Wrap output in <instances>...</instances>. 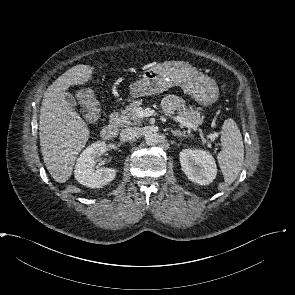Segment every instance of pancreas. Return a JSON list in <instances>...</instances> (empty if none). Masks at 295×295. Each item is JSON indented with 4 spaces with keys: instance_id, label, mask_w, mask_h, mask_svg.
Listing matches in <instances>:
<instances>
[{
    "instance_id": "obj_1",
    "label": "pancreas",
    "mask_w": 295,
    "mask_h": 295,
    "mask_svg": "<svg viewBox=\"0 0 295 295\" xmlns=\"http://www.w3.org/2000/svg\"><path fill=\"white\" fill-rule=\"evenodd\" d=\"M142 105V100L132 101L124 110L121 111V114L116 120V124L119 127H126L129 125L140 124L142 118L139 117L136 112L137 109ZM178 114L185 118L187 121L194 124L196 127L202 124L203 117L198 110L193 109L191 106L184 107L178 111Z\"/></svg>"
}]
</instances>
